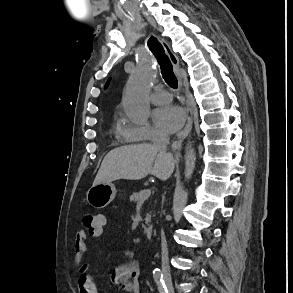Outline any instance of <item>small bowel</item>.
<instances>
[{"instance_id": "c3829d8e", "label": "small bowel", "mask_w": 293, "mask_h": 293, "mask_svg": "<svg viewBox=\"0 0 293 293\" xmlns=\"http://www.w3.org/2000/svg\"><path fill=\"white\" fill-rule=\"evenodd\" d=\"M102 220V227L98 232L92 233L93 237H100L103 234V227L106 225V218L103 215H98ZM87 233L83 230H79L75 234L74 239V253L75 261L80 267L82 274L77 280V286L79 293H91L92 289H96V286L88 274L87 264L84 262V258L88 252L86 245ZM140 268L137 262H127L117 266L112 274V280L115 285L121 287L127 293H140ZM97 293V289L96 292Z\"/></svg>"}]
</instances>
